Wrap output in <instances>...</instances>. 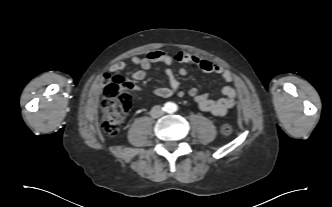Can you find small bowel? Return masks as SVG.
Instances as JSON below:
<instances>
[{
	"label": "small bowel",
	"mask_w": 332,
	"mask_h": 207,
	"mask_svg": "<svg viewBox=\"0 0 332 207\" xmlns=\"http://www.w3.org/2000/svg\"><path fill=\"white\" fill-rule=\"evenodd\" d=\"M175 62L192 64L199 67L202 71L210 74H215L226 82V86L223 89V97L217 100H212L207 94H200L197 88H191L188 91L190 97H192L198 107L214 116L222 117L228 114L235 105L236 102V90L232 86L233 74L231 71L222 68L220 65L209 61L204 58L197 57L195 55L179 52L175 56H171L163 50H152L147 53L144 57H133L131 63L139 69L132 74V79L141 81L145 79L151 70L153 64L161 63L165 66V75L167 76L169 85L167 87H159L154 89L153 94L156 97L166 98L175 93H180V83L177 80L172 66ZM127 64L125 62L114 63L110 71H121L125 70ZM187 71L185 68L179 70L180 75H186ZM109 73L104 75V78H108Z\"/></svg>",
	"instance_id": "c3829d8e"
}]
</instances>
